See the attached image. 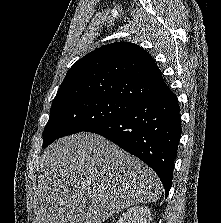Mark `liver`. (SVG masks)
I'll list each match as a JSON object with an SVG mask.
<instances>
[{"label":"liver","instance_id":"liver-1","mask_svg":"<svg viewBox=\"0 0 221 223\" xmlns=\"http://www.w3.org/2000/svg\"><path fill=\"white\" fill-rule=\"evenodd\" d=\"M160 196V179L145 163L100 135L81 132L41 156L33 223H102Z\"/></svg>","mask_w":221,"mask_h":223}]
</instances>
